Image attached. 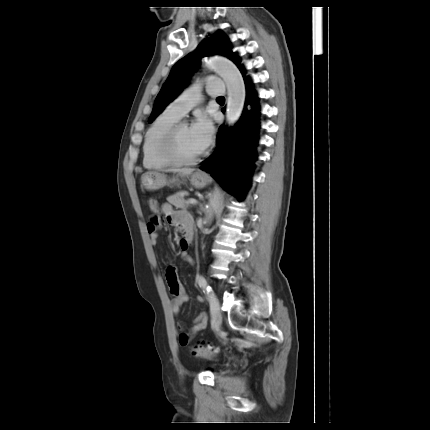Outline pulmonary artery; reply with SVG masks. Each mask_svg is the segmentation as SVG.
Returning a JSON list of instances; mask_svg holds the SVG:
<instances>
[{
  "label": "pulmonary artery",
  "instance_id": "1",
  "mask_svg": "<svg viewBox=\"0 0 430 430\" xmlns=\"http://www.w3.org/2000/svg\"><path fill=\"white\" fill-rule=\"evenodd\" d=\"M203 88H205L210 96H220L224 94L223 82L215 78H210L206 80L205 83L197 82L188 87L167 109L173 114L182 117L201 103Z\"/></svg>",
  "mask_w": 430,
  "mask_h": 430
}]
</instances>
